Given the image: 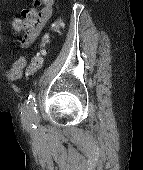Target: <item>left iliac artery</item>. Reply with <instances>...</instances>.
Masks as SVG:
<instances>
[{"label":"left iliac artery","instance_id":"1","mask_svg":"<svg viewBox=\"0 0 143 170\" xmlns=\"http://www.w3.org/2000/svg\"><path fill=\"white\" fill-rule=\"evenodd\" d=\"M36 98H35V93L34 92H31L28 99H27V102H26V107H27V111H26V115H27V118L29 119H32L34 121H37L38 120V112L36 110ZM32 128H37V126L32 123L31 124Z\"/></svg>","mask_w":143,"mask_h":170}]
</instances>
